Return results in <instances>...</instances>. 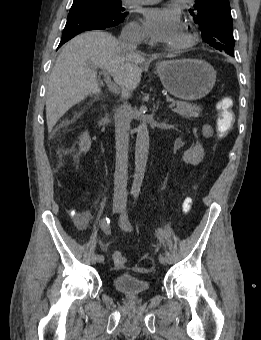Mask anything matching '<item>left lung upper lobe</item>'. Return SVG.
I'll use <instances>...</instances> for the list:
<instances>
[{
  "label": "left lung upper lobe",
  "mask_w": 261,
  "mask_h": 340,
  "mask_svg": "<svg viewBox=\"0 0 261 340\" xmlns=\"http://www.w3.org/2000/svg\"><path fill=\"white\" fill-rule=\"evenodd\" d=\"M194 22L201 28L203 40L213 48L234 53L233 22L229 0H195L190 9Z\"/></svg>",
  "instance_id": "left-lung-upper-lobe-1"
}]
</instances>
